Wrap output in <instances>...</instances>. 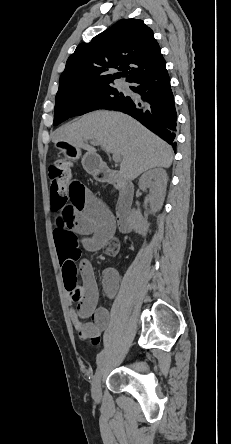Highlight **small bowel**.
<instances>
[{"mask_svg": "<svg viewBox=\"0 0 231 444\" xmlns=\"http://www.w3.org/2000/svg\"><path fill=\"white\" fill-rule=\"evenodd\" d=\"M51 209L55 213L53 236L63 282L70 303L77 304L76 308H69L70 319L80 340L97 344L110 325L111 315L106 308L98 306L99 290L92 265L84 260L77 267L76 261L80 247L87 251L102 249L108 256L118 254L120 244L114 237L113 216L78 180H74L66 199L52 197ZM78 274L82 279L81 288ZM119 283L116 269L109 267L103 271L102 286L109 298L116 296Z\"/></svg>", "mask_w": 231, "mask_h": 444, "instance_id": "small-bowel-1", "label": "small bowel"}]
</instances>
